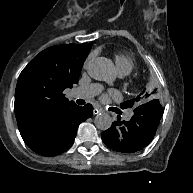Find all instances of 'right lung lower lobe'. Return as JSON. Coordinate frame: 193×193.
I'll list each match as a JSON object with an SVG mask.
<instances>
[{"instance_id":"right-lung-lower-lobe-1","label":"right lung lower lobe","mask_w":193,"mask_h":193,"mask_svg":"<svg viewBox=\"0 0 193 193\" xmlns=\"http://www.w3.org/2000/svg\"><path fill=\"white\" fill-rule=\"evenodd\" d=\"M93 107L76 106L50 128L22 133L26 145L43 156H55L66 151L74 141L79 124L92 116Z\"/></svg>"}]
</instances>
